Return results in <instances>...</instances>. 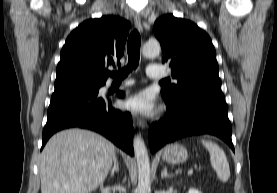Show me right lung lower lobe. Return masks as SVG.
<instances>
[{"mask_svg":"<svg viewBox=\"0 0 277 193\" xmlns=\"http://www.w3.org/2000/svg\"><path fill=\"white\" fill-rule=\"evenodd\" d=\"M97 90L54 91L42 134V148L56 132L80 127L99 132L125 152L134 155L133 124L130 113L111 107V100ZM119 97L124 93L119 92Z\"/></svg>","mask_w":277,"mask_h":193,"instance_id":"1","label":"right lung lower lobe"}]
</instances>
